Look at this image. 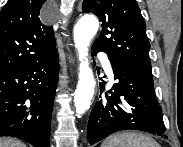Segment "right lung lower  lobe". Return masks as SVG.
Masks as SVG:
<instances>
[{"instance_id":"1","label":"right lung lower lobe","mask_w":183,"mask_h":147,"mask_svg":"<svg viewBox=\"0 0 183 147\" xmlns=\"http://www.w3.org/2000/svg\"><path fill=\"white\" fill-rule=\"evenodd\" d=\"M59 73L57 51L0 75V137L50 147V126Z\"/></svg>"}]
</instances>
